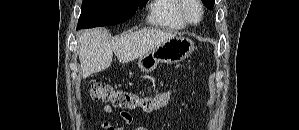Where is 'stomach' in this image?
Wrapping results in <instances>:
<instances>
[{
  "label": "stomach",
  "instance_id": "0dacf381",
  "mask_svg": "<svg viewBox=\"0 0 299 130\" xmlns=\"http://www.w3.org/2000/svg\"><path fill=\"white\" fill-rule=\"evenodd\" d=\"M194 50V43L189 38L176 36L149 53L141 56L138 66L142 72H152L159 63L175 64L188 58Z\"/></svg>",
  "mask_w": 299,
  "mask_h": 130
}]
</instances>
